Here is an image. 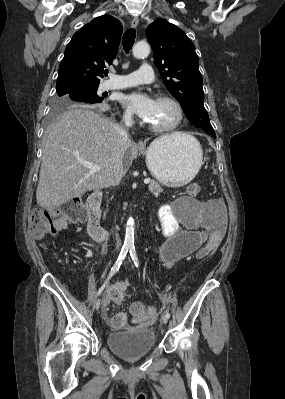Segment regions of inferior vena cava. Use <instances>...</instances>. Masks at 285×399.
Here are the masks:
<instances>
[{
    "label": "inferior vena cava",
    "mask_w": 285,
    "mask_h": 399,
    "mask_svg": "<svg viewBox=\"0 0 285 399\" xmlns=\"http://www.w3.org/2000/svg\"><path fill=\"white\" fill-rule=\"evenodd\" d=\"M123 121H124V125H125L126 128L131 127L132 124H133L132 115L129 114V113L125 114L123 116ZM121 137H122V142L121 143H122V145H124L125 142L128 139V133H127V130L125 128H123L121 130ZM122 176H123L122 171L118 167L114 185H118L119 184L120 180L122 179ZM120 246H121V241H120V239L117 238L116 248H119Z\"/></svg>",
    "instance_id": "602c4592"
}]
</instances>
